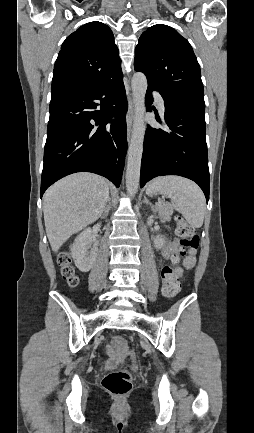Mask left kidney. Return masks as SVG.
Instances as JSON below:
<instances>
[{
    "instance_id": "1",
    "label": "left kidney",
    "mask_w": 254,
    "mask_h": 433,
    "mask_svg": "<svg viewBox=\"0 0 254 433\" xmlns=\"http://www.w3.org/2000/svg\"><path fill=\"white\" fill-rule=\"evenodd\" d=\"M164 243H165V240L162 238L161 235H158L154 238V246L157 249H160L164 245Z\"/></svg>"
}]
</instances>
